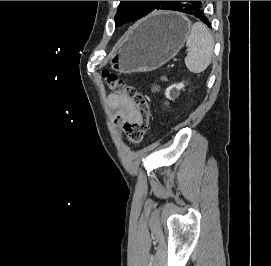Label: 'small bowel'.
Instances as JSON below:
<instances>
[{
    "label": "small bowel",
    "mask_w": 271,
    "mask_h": 266,
    "mask_svg": "<svg viewBox=\"0 0 271 266\" xmlns=\"http://www.w3.org/2000/svg\"><path fill=\"white\" fill-rule=\"evenodd\" d=\"M108 102L111 107L117 110L114 116V123L116 125H123L137 119V112L128 98L119 95H110Z\"/></svg>",
    "instance_id": "obj_1"
}]
</instances>
